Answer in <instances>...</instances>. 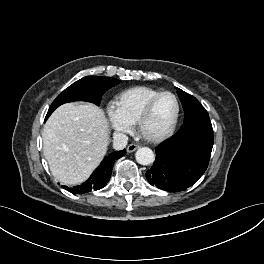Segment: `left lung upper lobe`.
I'll use <instances>...</instances> for the list:
<instances>
[{
	"label": "left lung upper lobe",
	"instance_id": "obj_1",
	"mask_svg": "<svg viewBox=\"0 0 264 264\" xmlns=\"http://www.w3.org/2000/svg\"><path fill=\"white\" fill-rule=\"evenodd\" d=\"M177 94L183 105L184 113V124L181 130L187 129L200 122L210 121L209 115L206 109L200 104V102L192 95L177 89Z\"/></svg>",
	"mask_w": 264,
	"mask_h": 264
}]
</instances>
